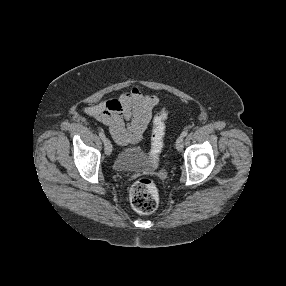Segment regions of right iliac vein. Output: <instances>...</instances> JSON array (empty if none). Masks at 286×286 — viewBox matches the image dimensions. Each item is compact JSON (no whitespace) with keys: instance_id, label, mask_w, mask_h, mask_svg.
I'll list each match as a JSON object with an SVG mask.
<instances>
[{"instance_id":"63e3f726","label":"right iliac vein","mask_w":286,"mask_h":286,"mask_svg":"<svg viewBox=\"0 0 286 286\" xmlns=\"http://www.w3.org/2000/svg\"><path fill=\"white\" fill-rule=\"evenodd\" d=\"M104 151L107 156H110L112 153V144L110 140L107 138L105 139V142H104Z\"/></svg>"}]
</instances>
